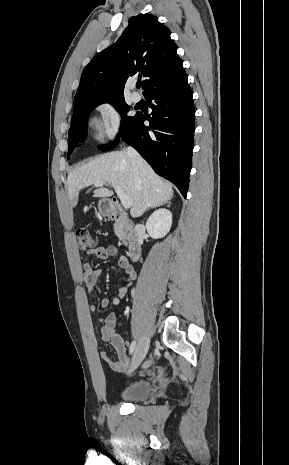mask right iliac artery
Here are the masks:
<instances>
[{
  "label": "right iliac artery",
  "mask_w": 289,
  "mask_h": 465,
  "mask_svg": "<svg viewBox=\"0 0 289 465\" xmlns=\"http://www.w3.org/2000/svg\"><path fill=\"white\" fill-rule=\"evenodd\" d=\"M135 347H136V341H133L130 345V350H129L130 354L133 353V351L135 350Z\"/></svg>",
  "instance_id": "1"
}]
</instances>
